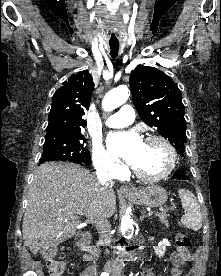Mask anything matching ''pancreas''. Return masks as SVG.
<instances>
[{"label": "pancreas", "mask_w": 221, "mask_h": 276, "mask_svg": "<svg viewBox=\"0 0 221 276\" xmlns=\"http://www.w3.org/2000/svg\"><path fill=\"white\" fill-rule=\"evenodd\" d=\"M155 216L158 217L159 221L162 224L168 225V220H167L168 214H166L165 212L164 213H156Z\"/></svg>", "instance_id": "cf45deb5"}]
</instances>
